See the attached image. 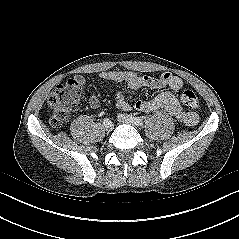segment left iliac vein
Masks as SVG:
<instances>
[{"mask_svg":"<svg viewBox=\"0 0 239 239\" xmlns=\"http://www.w3.org/2000/svg\"><path fill=\"white\" fill-rule=\"evenodd\" d=\"M117 118H118V121L121 122V123L129 124V125H132L134 127L138 126V124L135 122V120L133 118H131L129 115L118 114Z\"/></svg>","mask_w":239,"mask_h":239,"instance_id":"1","label":"left iliac vein"}]
</instances>
